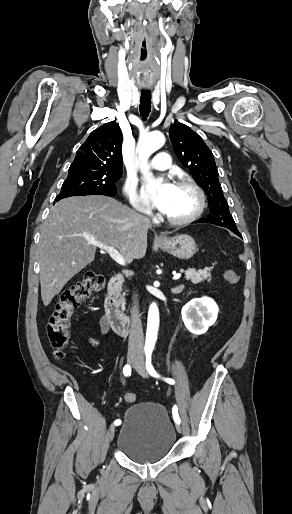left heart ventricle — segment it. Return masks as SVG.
<instances>
[{
  "label": "left heart ventricle",
  "instance_id": "1",
  "mask_svg": "<svg viewBox=\"0 0 292 514\" xmlns=\"http://www.w3.org/2000/svg\"><path fill=\"white\" fill-rule=\"evenodd\" d=\"M195 205L196 197L193 191L176 186L175 193L164 213L175 218L185 217L194 210Z\"/></svg>",
  "mask_w": 292,
  "mask_h": 514
}]
</instances>
